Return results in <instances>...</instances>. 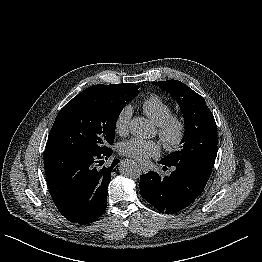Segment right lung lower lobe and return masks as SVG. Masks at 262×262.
I'll return each mask as SVG.
<instances>
[{
    "label": "right lung lower lobe",
    "mask_w": 262,
    "mask_h": 262,
    "mask_svg": "<svg viewBox=\"0 0 262 262\" xmlns=\"http://www.w3.org/2000/svg\"><path fill=\"white\" fill-rule=\"evenodd\" d=\"M112 150L84 152L76 150H45L44 168L47 185L60 213L80 225L95 221L107 206V189L111 172L119 162L98 167Z\"/></svg>",
    "instance_id": "obj_1"
}]
</instances>
